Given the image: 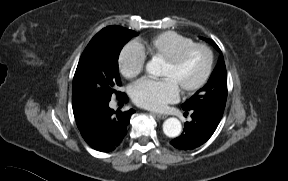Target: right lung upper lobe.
Wrapping results in <instances>:
<instances>
[{"label": "right lung upper lobe", "instance_id": "cb5924a9", "mask_svg": "<svg viewBox=\"0 0 288 181\" xmlns=\"http://www.w3.org/2000/svg\"><path fill=\"white\" fill-rule=\"evenodd\" d=\"M73 113L81 135L87 134L101 106L88 105L72 97Z\"/></svg>", "mask_w": 288, "mask_h": 181}]
</instances>
